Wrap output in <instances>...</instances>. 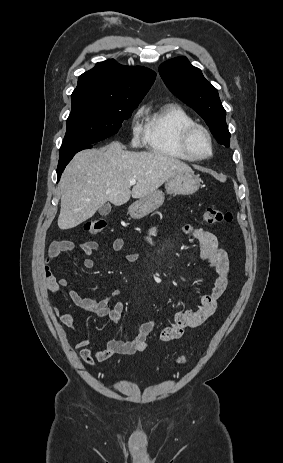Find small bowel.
I'll return each instance as SVG.
<instances>
[{
    "label": "small bowel",
    "mask_w": 283,
    "mask_h": 463,
    "mask_svg": "<svg viewBox=\"0 0 283 463\" xmlns=\"http://www.w3.org/2000/svg\"><path fill=\"white\" fill-rule=\"evenodd\" d=\"M158 226L154 225L149 230L145 237L147 243L151 244L153 237L156 235ZM185 234L193 237L197 241V252L200 258L207 260L216 272L214 286L209 294L201 297L199 305L193 309H187L175 315L174 322L161 329L158 335L160 341H172L179 339L187 327L194 328L201 325L214 312L217 306V300L223 295L228 286L229 260L227 253L219 246L217 237L203 228L195 227L191 224H186L182 227ZM99 245L95 241H85L76 244L70 240H55L53 241L47 253L43 275L45 279V288L48 292L55 296L61 294L63 289H66L70 299L80 308L95 313L100 317H106L112 325L119 324L124 309L122 302L110 304V299H88L81 297L70 285V281L66 278L57 279L50 268V264L55 262L62 253L74 250H80L87 257L83 260L85 269H92L95 262L89 256L98 249ZM112 248L118 253H123L125 258L130 263L139 261V256L133 252H125V240L116 238L112 243ZM119 291L114 292V296L118 295ZM53 313L59 317L61 323L72 328L75 322L74 315L70 312L60 314L57 307H52ZM156 321H148L143 323L138 331V334L129 340L110 339L101 348L90 347V340L83 337L77 341L75 347L80 351L81 360L89 366L95 362H104L114 354H134L145 351L149 347L148 337L155 327Z\"/></svg>",
    "instance_id": "1"
}]
</instances>
